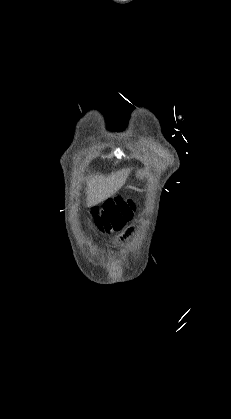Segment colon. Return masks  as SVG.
I'll list each match as a JSON object with an SVG mask.
<instances>
[{
	"instance_id": "1",
	"label": "colon",
	"mask_w": 231,
	"mask_h": 419,
	"mask_svg": "<svg viewBox=\"0 0 231 419\" xmlns=\"http://www.w3.org/2000/svg\"><path fill=\"white\" fill-rule=\"evenodd\" d=\"M134 209L135 205L131 200L117 197L115 200L108 201L101 218L102 224L106 230L118 231L131 218Z\"/></svg>"
}]
</instances>
